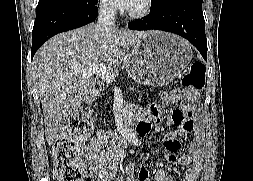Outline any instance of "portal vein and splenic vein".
I'll return each mask as SVG.
<instances>
[{
	"instance_id": "18ae733b",
	"label": "portal vein and splenic vein",
	"mask_w": 253,
	"mask_h": 181,
	"mask_svg": "<svg viewBox=\"0 0 253 181\" xmlns=\"http://www.w3.org/2000/svg\"><path fill=\"white\" fill-rule=\"evenodd\" d=\"M94 74L108 84L112 83V81L115 79V76L106 68L103 63L90 65L83 73V76L88 77ZM114 90L118 92L120 91V89L117 87H114Z\"/></svg>"
}]
</instances>
